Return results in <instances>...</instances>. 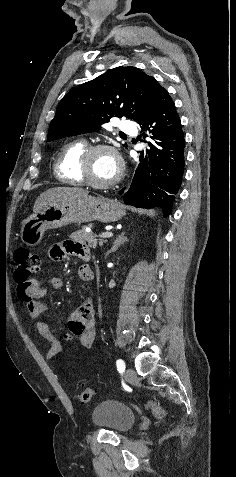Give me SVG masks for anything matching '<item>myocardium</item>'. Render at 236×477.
<instances>
[{
  "instance_id": "f54148a6",
  "label": "myocardium",
  "mask_w": 236,
  "mask_h": 477,
  "mask_svg": "<svg viewBox=\"0 0 236 477\" xmlns=\"http://www.w3.org/2000/svg\"><path fill=\"white\" fill-rule=\"evenodd\" d=\"M100 151H109L110 153L113 154V156L116 158L118 162L119 169L116 176L107 182H96L90 177V173H89L90 159L92 158L94 154ZM123 170H124V166H123V161L120 154L118 153L116 148L108 144H95V145L88 146L79 158V164H78L79 175L84 184H87L93 188L105 189V188L114 186L121 179L123 175Z\"/></svg>"
}]
</instances>
